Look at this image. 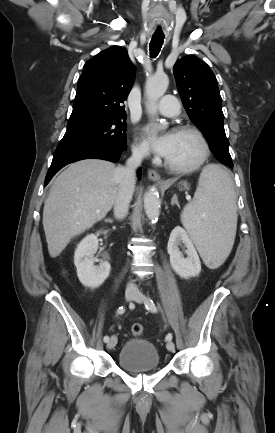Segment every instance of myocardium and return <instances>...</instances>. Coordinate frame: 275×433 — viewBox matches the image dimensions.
I'll return each instance as SVG.
<instances>
[{"mask_svg": "<svg viewBox=\"0 0 275 433\" xmlns=\"http://www.w3.org/2000/svg\"><path fill=\"white\" fill-rule=\"evenodd\" d=\"M175 132L191 134L195 136L201 143L202 154L200 159L191 166H187V167L176 166L170 163L167 159L164 160V165L170 171L178 174H191L198 171L206 163L211 153V147L207 137L201 130L193 126H180L175 130Z\"/></svg>", "mask_w": 275, "mask_h": 433, "instance_id": "1", "label": "myocardium"}]
</instances>
